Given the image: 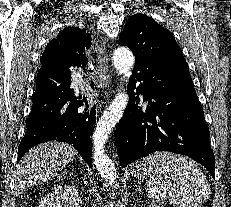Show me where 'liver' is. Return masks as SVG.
Wrapping results in <instances>:
<instances>
[{
	"mask_svg": "<svg viewBox=\"0 0 231 207\" xmlns=\"http://www.w3.org/2000/svg\"><path fill=\"white\" fill-rule=\"evenodd\" d=\"M77 154L70 145L51 141L30 149L20 161L16 175L17 194L40 182L51 180Z\"/></svg>",
	"mask_w": 231,
	"mask_h": 207,
	"instance_id": "obj_1",
	"label": "liver"
}]
</instances>
